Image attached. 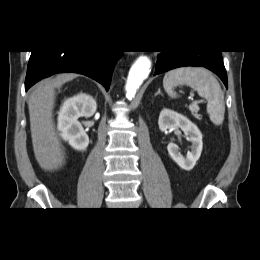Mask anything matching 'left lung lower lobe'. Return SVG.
I'll list each match as a JSON object with an SVG mask.
<instances>
[{"instance_id": "obj_1", "label": "left lung lower lobe", "mask_w": 260, "mask_h": 260, "mask_svg": "<svg viewBox=\"0 0 260 260\" xmlns=\"http://www.w3.org/2000/svg\"><path fill=\"white\" fill-rule=\"evenodd\" d=\"M185 66H199L211 70L220 77L228 88L227 74L219 50L176 51L172 54L159 55L154 75Z\"/></svg>"}]
</instances>
